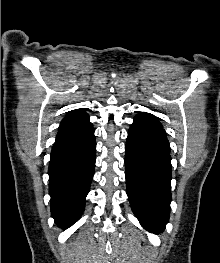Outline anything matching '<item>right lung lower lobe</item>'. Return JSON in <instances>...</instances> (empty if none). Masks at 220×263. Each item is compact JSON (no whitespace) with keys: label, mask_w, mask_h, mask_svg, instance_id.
Here are the masks:
<instances>
[{"label":"right lung lower lobe","mask_w":220,"mask_h":263,"mask_svg":"<svg viewBox=\"0 0 220 263\" xmlns=\"http://www.w3.org/2000/svg\"><path fill=\"white\" fill-rule=\"evenodd\" d=\"M96 142L93 127L85 133L58 132L49 162L51 213L68 228L79 220L94 174Z\"/></svg>","instance_id":"98d812e1"}]
</instances>
